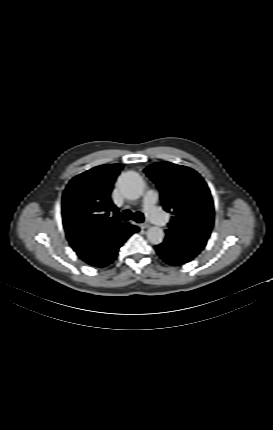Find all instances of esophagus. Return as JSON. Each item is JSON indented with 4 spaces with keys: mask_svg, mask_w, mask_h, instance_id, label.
<instances>
[{
    "mask_svg": "<svg viewBox=\"0 0 273 430\" xmlns=\"http://www.w3.org/2000/svg\"><path fill=\"white\" fill-rule=\"evenodd\" d=\"M140 226L142 229H146V228L150 227V225L148 223H142Z\"/></svg>",
    "mask_w": 273,
    "mask_h": 430,
    "instance_id": "obj_1",
    "label": "esophagus"
}]
</instances>
